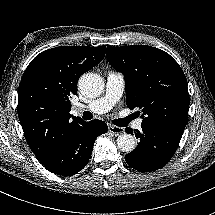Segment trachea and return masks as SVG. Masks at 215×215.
Returning a JSON list of instances; mask_svg holds the SVG:
<instances>
[{
  "instance_id": "3493384b",
  "label": "trachea",
  "mask_w": 215,
  "mask_h": 215,
  "mask_svg": "<svg viewBox=\"0 0 215 215\" xmlns=\"http://www.w3.org/2000/svg\"><path fill=\"white\" fill-rule=\"evenodd\" d=\"M93 117V115L89 112V111H85L83 113V119L85 120H91ZM135 117L133 114H131L130 116L126 117V118H123V119H118V120H115V124L117 126H120V127H125L128 125V123L133 120Z\"/></svg>"
}]
</instances>
